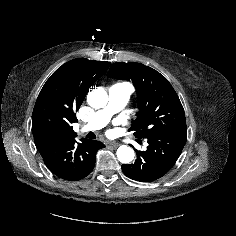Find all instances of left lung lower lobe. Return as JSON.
<instances>
[{
  "mask_svg": "<svg viewBox=\"0 0 236 236\" xmlns=\"http://www.w3.org/2000/svg\"><path fill=\"white\" fill-rule=\"evenodd\" d=\"M187 140V128L158 134L147 139L146 151H136L133 164H123L122 171L130 179L152 182L163 177L176 163Z\"/></svg>",
  "mask_w": 236,
  "mask_h": 236,
  "instance_id": "obj_1",
  "label": "left lung lower lobe"
}]
</instances>
